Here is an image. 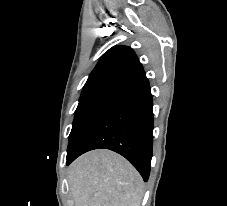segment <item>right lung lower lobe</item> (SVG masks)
Listing matches in <instances>:
<instances>
[{
    "label": "right lung lower lobe",
    "instance_id": "98d812e1",
    "mask_svg": "<svg viewBox=\"0 0 227 206\" xmlns=\"http://www.w3.org/2000/svg\"><path fill=\"white\" fill-rule=\"evenodd\" d=\"M152 95L145 77L131 82L113 101L67 155V165L81 154L99 148L124 156L148 180L153 147Z\"/></svg>",
    "mask_w": 227,
    "mask_h": 206
}]
</instances>
